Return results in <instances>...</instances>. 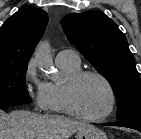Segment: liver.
<instances>
[{"instance_id":"1","label":"liver","mask_w":141,"mask_h":139,"mask_svg":"<svg viewBox=\"0 0 141 139\" xmlns=\"http://www.w3.org/2000/svg\"><path fill=\"white\" fill-rule=\"evenodd\" d=\"M86 126L89 124L59 115L0 110V139H69Z\"/></svg>"}]
</instances>
